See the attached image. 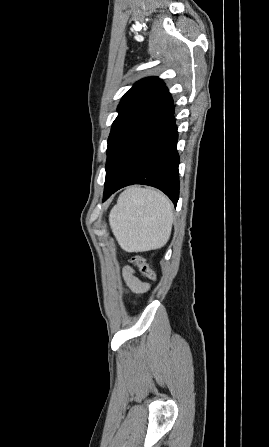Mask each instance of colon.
Segmentation results:
<instances>
[{"label": "colon", "instance_id": "5ec220e1", "mask_svg": "<svg viewBox=\"0 0 269 447\" xmlns=\"http://www.w3.org/2000/svg\"><path fill=\"white\" fill-rule=\"evenodd\" d=\"M129 262L134 265L141 274L151 282H155L157 280V274L155 270L148 263L146 258L142 254H134L129 257Z\"/></svg>", "mask_w": 269, "mask_h": 447}]
</instances>
